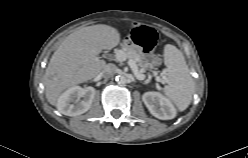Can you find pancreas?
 <instances>
[{
  "mask_svg": "<svg viewBox=\"0 0 248 158\" xmlns=\"http://www.w3.org/2000/svg\"><path fill=\"white\" fill-rule=\"evenodd\" d=\"M122 51L126 54L128 59H132L136 62L140 73H144L149 67V63L144 60L142 54L140 53V48L136 46L124 45ZM161 79H164V74L161 75Z\"/></svg>",
  "mask_w": 248,
  "mask_h": 158,
  "instance_id": "obj_1",
  "label": "pancreas"
}]
</instances>
